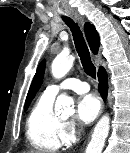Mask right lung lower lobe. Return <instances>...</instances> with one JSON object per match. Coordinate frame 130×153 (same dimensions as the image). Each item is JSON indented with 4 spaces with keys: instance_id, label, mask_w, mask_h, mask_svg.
<instances>
[{
    "instance_id": "right-lung-lower-lobe-1",
    "label": "right lung lower lobe",
    "mask_w": 130,
    "mask_h": 153,
    "mask_svg": "<svg viewBox=\"0 0 130 153\" xmlns=\"http://www.w3.org/2000/svg\"><path fill=\"white\" fill-rule=\"evenodd\" d=\"M98 79H99L98 88H99L100 94L102 98L105 99L107 96L108 86H107V73L103 67H100L98 71Z\"/></svg>"
}]
</instances>
